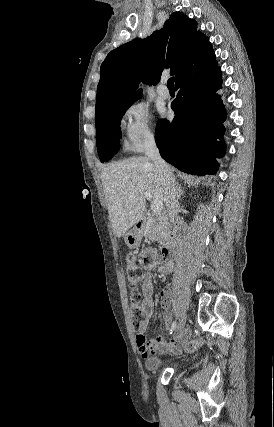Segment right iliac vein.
Returning <instances> with one entry per match:
<instances>
[{
    "label": "right iliac vein",
    "instance_id": "1",
    "mask_svg": "<svg viewBox=\"0 0 274 427\" xmlns=\"http://www.w3.org/2000/svg\"><path fill=\"white\" fill-rule=\"evenodd\" d=\"M185 323H186V315L183 314L179 320V324L177 326V334H176L177 335L176 340L178 341L180 346H181L182 340L185 338V335L183 334V335L179 336L178 334L183 331V329L185 327Z\"/></svg>",
    "mask_w": 274,
    "mask_h": 427
}]
</instances>
